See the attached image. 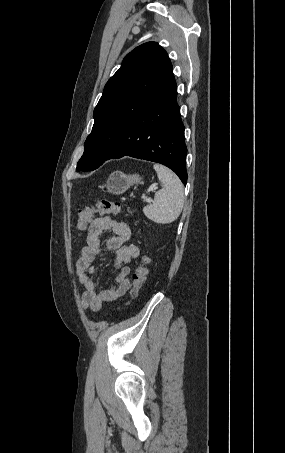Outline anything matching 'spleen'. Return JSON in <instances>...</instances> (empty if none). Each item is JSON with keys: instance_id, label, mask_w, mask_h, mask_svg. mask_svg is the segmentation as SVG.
I'll return each instance as SVG.
<instances>
[{"instance_id": "obj_1", "label": "spleen", "mask_w": 285, "mask_h": 453, "mask_svg": "<svg viewBox=\"0 0 285 453\" xmlns=\"http://www.w3.org/2000/svg\"><path fill=\"white\" fill-rule=\"evenodd\" d=\"M162 188L155 193L152 204L143 208V213L151 221L168 224L175 221L184 205V188L178 176L169 168L154 164Z\"/></svg>"}]
</instances>
